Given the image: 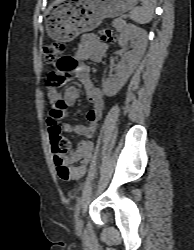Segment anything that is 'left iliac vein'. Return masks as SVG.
<instances>
[{"label":"left iliac vein","instance_id":"left-iliac-vein-1","mask_svg":"<svg viewBox=\"0 0 194 250\" xmlns=\"http://www.w3.org/2000/svg\"><path fill=\"white\" fill-rule=\"evenodd\" d=\"M82 228V219L81 216L77 219V223H76V229L80 230Z\"/></svg>","mask_w":194,"mask_h":250}]
</instances>
